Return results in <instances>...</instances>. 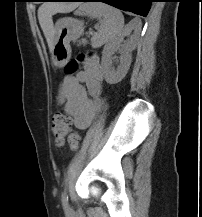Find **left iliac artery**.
<instances>
[{
  "label": "left iliac artery",
  "mask_w": 202,
  "mask_h": 217,
  "mask_svg": "<svg viewBox=\"0 0 202 217\" xmlns=\"http://www.w3.org/2000/svg\"><path fill=\"white\" fill-rule=\"evenodd\" d=\"M61 200H62V205H63L64 209H68L69 205H68V196H67L66 190L62 194Z\"/></svg>",
  "instance_id": "left-iliac-artery-1"
}]
</instances>
